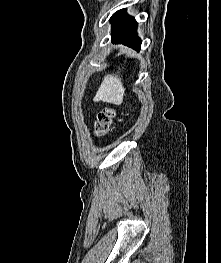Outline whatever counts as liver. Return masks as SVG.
<instances>
[{
    "label": "liver",
    "instance_id": "6515ba94",
    "mask_svg": "<svg viewBox=\"0 0 221 263\" xmlns=\"http://www.w3.org/2000/svg\"><path fill=\"white\" fill-rule=\"evenodd\" d=\"M124 95L125 88L121 78L118 75L110 74L104 77L93 100L120 105Z\"/></svg>",
    "mask_w": 221,
    "mask_h": 263
}]
</instances>
